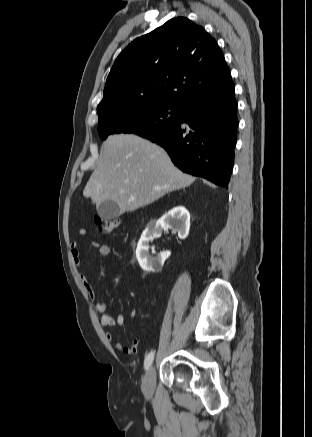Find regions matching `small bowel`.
Here are the masks:
<instances>
[{
	"label": "small bowel",
	"instance_id": "c3829d8e",
	"mask_svg": "<svg viewBox=\"0 0 312 437\" xmlns=\"http://www.w3.org/2000/svg\"><path fill=\"white\" fill-rule=\"evenodd\" d=\"M78 234H79V236H85L86 230L84 228H81V229H79ZM92 245H93V247H95L97 249L98 255L101 257H106V256L110 255V253L112 251L111 247L107 244H100L98 242H93ZM70 247H71V255H72V259L74 261V264L77 267H81V265H82L81 253L78 249L77 242H72L70 244ZM80 280H81L85 290L87 291L90 299L92 301H94L95 310L98 313L102 314V316L100 318L101 326L103 328H111V327L121 326L124 322V316L122 314H118L116 316L106 314L105 313L106 304L104 302H101L98 300L96 291L93 288V286L91 285V283L89 282L88 278L84 274H80ZM105 338L107 341L112 342L114 339V336L110 331H106ZM114 346L117 350L122 351L126 355H133L138 350L139 341L134 339L131 342V344L128 346H125L121 342L118 341L115 343Z\"/></svg>",
	"mask_w": 312,
	"mask_h": 437
}]
</instances>
